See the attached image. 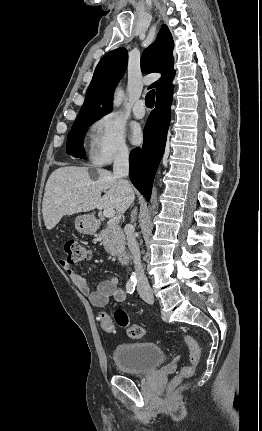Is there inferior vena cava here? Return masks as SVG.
<instances>
[{"label": "inferior vena cava", "instance_id": "obj_1", "mask_svg": "<svg viewBox=\"0 0 262 431\" xmlns=\"http://www.w3.org/2000/svg\"><path fill=\"white\" fill-rule=\"evenodd\" d=\"M129 173V152L127 148H122L118 151L115 156L113 164V174L117 178L123 179L127 186H130L128 181L125 180ZM127 244L132 254L134 268L136 271L137 288L140 292L151 291L148 280L144 274V270L141 265L140 249L136 238L134 236V229L130 228L126 231Z\"/></svg>", "mask_w": 262, "mask_h": 431}]
</instances>
